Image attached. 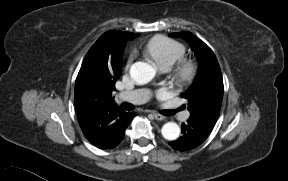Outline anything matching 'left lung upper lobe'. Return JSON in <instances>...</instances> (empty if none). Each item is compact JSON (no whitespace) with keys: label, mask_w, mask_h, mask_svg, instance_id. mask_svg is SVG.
Wrapping results in <instances>:
<instances>
[{"label":"left lung upper lobe","mask_w":288,"mask_h":181,"mask_svg":"<svg viewBox=\"0 0 288 181\" xmlns=\"http://www.w3.org/2000/svg\"><path fill=\"white\" fill-rule=\"evenodd\" d=\"M186 39L199 60V71L194 83L185 92L190 118L215 125L223 99V80L213 51L190 32L171 33Z\"/></svg>","instance_id":"5c2ea615"}]
</instances>
